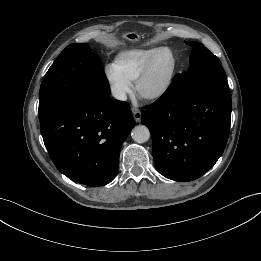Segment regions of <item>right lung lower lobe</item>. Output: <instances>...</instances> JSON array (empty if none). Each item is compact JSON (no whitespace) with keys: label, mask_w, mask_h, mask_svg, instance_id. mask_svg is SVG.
Wrapping results in <instances>:
<instances>
[{"label":"right lung lower lobe","mask_w":261,"mask_h":261,"mask_svg":"<svg viewBox=\"0 0 261 261\" xmlns=\"http://www.w3.org/2000/svg\"><path fill=\"white\" fill-rule=\"evenodd\" d=\"M41 134L57 169L92 187L115 177L121 146L134 126L126 102L109 95L77 96L39 119Z\"/></svg>","instance_id":"obj_1"}]
</instances>
